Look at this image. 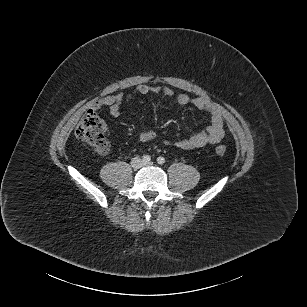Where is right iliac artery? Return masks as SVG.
<instances>
[{
    "label": "right iliac artery",
    "instance_id": "obj_1",
    "mask_svg": "<svg viewBox=\"0 0 307 307\" xmlns=\"http://www.w3.org/2000/svg\"><path fill=\"white\" fill-rule=\"evenodd\" d=\"M143 162L148 163L151 161V157L149 155H144L142 158Z\"/></svg>",
    "mask_w": 307,
    "mask_h": 307
}]
</instances>
